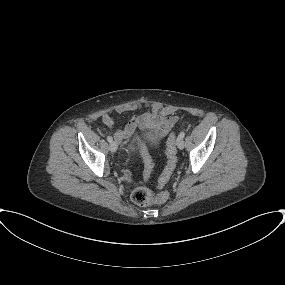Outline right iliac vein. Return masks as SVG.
I'll list each match as a JSON object with an SVG mask.
<instances>
[{"label":"right iliac vein","mask_w":285,"mask_h":285,"mask_svg":"<svg viewBox=\"0 0 285 285\" xmlns=\"http://www.w3.org/2000/svg\"><path fill=\"white\" fill-rule=\"evenodd\" d=\"M109 149L111 152H116L118 149V145L116 142L112 141L109 145Z\"/></svg>","instance_id":"right-iliac-vein-1"}]
</instances>
